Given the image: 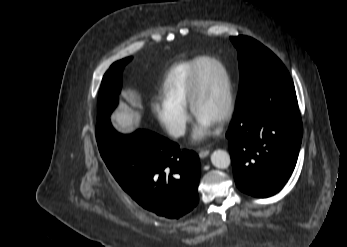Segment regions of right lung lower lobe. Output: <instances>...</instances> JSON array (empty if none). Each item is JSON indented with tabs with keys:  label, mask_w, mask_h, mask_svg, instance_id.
Wrapping results in <instances>:
<instances>
[{
	"label": "right lung lower lobe",
	"mask_w": 347,
	"mask_h": 247,
	"mask_svg": "<svg viewBox=\"0 0 347 247\" xmlns=\"http://www.w3.org/2000/svg\"><path fill=\"white\" fill-rule=\"evenodd\" d=\"M96 138L114 178L143 208L178 219L198 204L200 163L193 151L148 130L120 134L109 119L97 123Z\"/></svg>",
	"instance_id": "98d812e1"
}]
</instances>
